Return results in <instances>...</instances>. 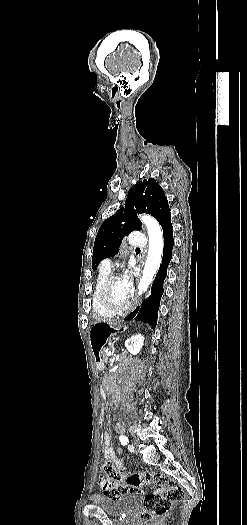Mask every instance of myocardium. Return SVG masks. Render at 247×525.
Here are the masks:
<instances>
[{"mask_svg":"<svg viewBox=\"0 0 247 525\" xmlns=\"http://www.w3.org/2000/svg\"><path fill=\"white\" fill-rule=\"evenodd\" d=\"M118 278V275H110L106 280L99 286L98 295L101 300V306L106 311L112 313L114 306L130 307L131 304L128 299L119 301L109 296V287L114 279Z\"/></svg>","mask_w":247,"mask_h":525,"instance_id":"1","label":"myocardium"}]
</instances>
